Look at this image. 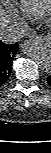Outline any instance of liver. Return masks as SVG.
Wrapping results in <instances>:
<instances>
[{
	"mask_svg": "<svg viewBox=\"0 0 51 153\" xmlns=\"http://www.w3.org/2000/svg\"><path fill=\"white\" fill-rule=\"evenodd\" d=\"M9 22H10L9 15L1 7L0 9V29L6 27Z\"/></svg>",
	"mask_w": 51,
	"mask_h": 153,
	"instance_id": "liver-1",
	"label": "liver"
}]
</instances>
